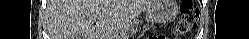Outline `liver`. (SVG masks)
Listing matches in <instances>:
<instances>
[{"label":"liver","instance_id":"liver-1","mask_svg":"<svg viewBox=\"0 0 249 39\" xmlns=\"http://www.w3.org/2000/svg\"><path fill=\"white\" fill-rule=\"evenodd\" d=\"M156 1L53 0L48 4L51 39H115Z\"/></svg>","mask_w":249,"mask_h":39}]
</instances>
